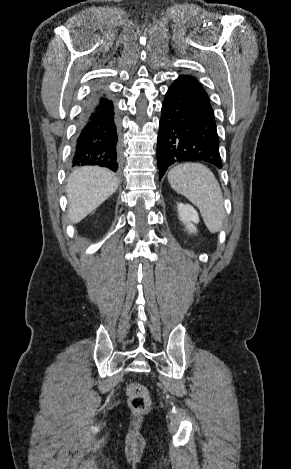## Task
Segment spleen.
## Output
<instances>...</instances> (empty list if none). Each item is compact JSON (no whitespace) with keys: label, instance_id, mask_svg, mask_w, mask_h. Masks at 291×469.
Returning a JSON list of instances; mask_svg holds the SVG:
<instances>
[{"label":"spleen","instance_id":"1","mask_svg":"<svg viewBox=\"0 0 291 469\" xmlns=\"http://www.w3.org/2000/svg\"><path fill=\"white\" fill-rule=\"evenodd\" d=\"M171 187L185 196L200 211L211 233L221 230L225 209L221 187L209 168L200 163H185L168 172Z\"/></svg>","mask_w":291,"mask_h":469}]
</instances>
